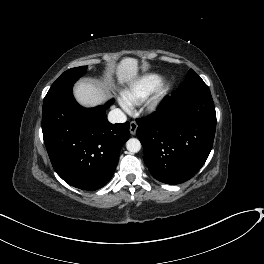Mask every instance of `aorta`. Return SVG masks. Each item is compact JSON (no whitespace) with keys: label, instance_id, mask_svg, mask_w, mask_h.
Listing matches in <instances>:
<instances>
[{"label":"aorta","instance_id":"1","mask_svg":"<svg viewBox=\"0 0 264 264\" xmlns=\"http://www.w3.org/2000/svg\"><path fill=\"white\" fill-rule=\"evenodd\" d=\"M126 148L129 152L131 153H137L140 151L141 149V143L138 139L136 138H130L127 142H126Z\"/></svg>","mask_w":264,"mask_h":264}]
</instances>
